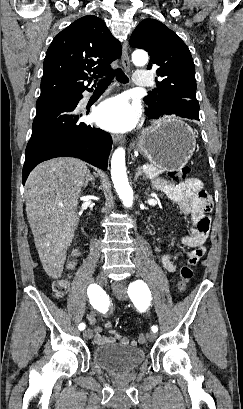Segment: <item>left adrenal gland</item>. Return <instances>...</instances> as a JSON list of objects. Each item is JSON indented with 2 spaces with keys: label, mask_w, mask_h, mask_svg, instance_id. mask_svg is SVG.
Wrapping results in <instances>:
<instances>
[{
  "label": "left adrenal gland",
  "mask_w": 243,
  "mask_h": 409,
  "mask_svg": "<svg viewBox=\"0 0 243 409\" xmlns=\"http://www.w3.org/2000/svg\"><path fill=\"white\" fill-rule=\"evenodd\" d=\"M140 176H143V178L145 179V176L143 175L141 167L138 166L137 172L135 173V180H137Z\"/></svg>",
  "instance_id": "1"
}]
</instances>
